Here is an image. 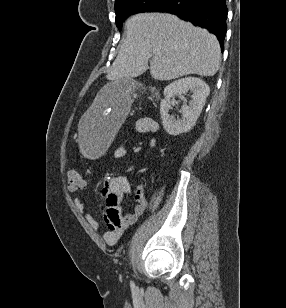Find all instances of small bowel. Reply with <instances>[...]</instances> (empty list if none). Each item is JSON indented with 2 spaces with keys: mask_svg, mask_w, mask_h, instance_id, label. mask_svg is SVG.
<instances>
[{
  "mask_svg": "<svg viewBox=\"0 0 286 308\" xmlns=\"http://www.w3.org/2000/svg\"><path fill=\"white\" fill-rule=\"evenodd\" d=\"M134 131L137 133L152 134V137L149 140L148 150L145 154V158H148L157 145V139L155 137V134L158 132L157 122L150 117L140 118L135 124ZM131 133V131H127L126 135H130ZM124 153L125 149L121 145L117 147L114 155L115 157L120 158ZM134 169V167H130L128 170L134 171ZM129 192L130 186L128 180L123 175L113 176L102 183L100 196L104 201V206H102L101 209L102 215L108 226V229L103 232L102 237L104 242L108 245L116 244L123 232L129 226L133 225L146 209L147 198L145 187L143 184H138L134 195L137 204L131 213L123 215L122 203ZM74 204L79 211L84 213L87 223L92 228L98 230L100 228L99 222L86 212L84 203L79 198H75Z\"/></svg>",
  "mask_w": 286,
  "mask_h": 308,
  "instance_id": "small-bowel-1",
  "label": "small bowel"
}]
</instances>
